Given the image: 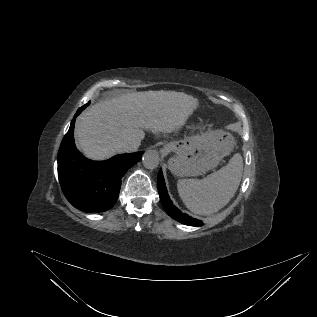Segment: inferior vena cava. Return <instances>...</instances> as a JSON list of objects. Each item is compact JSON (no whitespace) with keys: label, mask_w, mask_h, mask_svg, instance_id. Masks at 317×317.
<instances>
[{"label":"inferior vena cava","mask_w":317,"mask_h":317,"mask_svg":"<svg viewBox=\"0 0 317 317\" xmlns=\"http://www.w3.org/2000/svg\"><path fill=\"white\" fill-rule=\"evenodd\" d=\"M139 147V144L136 142H123L119 144L118 150L120 152H135Z\"/></svg>","instance_id":"602c4592"}]
</instances>
